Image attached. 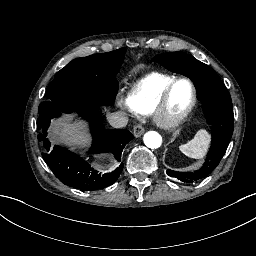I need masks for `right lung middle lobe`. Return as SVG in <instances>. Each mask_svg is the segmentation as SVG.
I'll return each mask as SVG.
<instances>
[{
  "label": "right lung middle lobe",
  "instance_id": "obj_1",
  "mask_svg": "<svg viewBox=\"0 0 256 256\" xmlns=\"http://www.w3.org/2000/svg\"><path fill=\"white\" fill-rule=\"evenodd\" d=\"M126 49L77 58L56 73L39 105L43 118L75 105H112L118 89L116 74Z\"/></svg>",
  "mask_w": 256,
  "mask_h": 256
}]
</instances>
